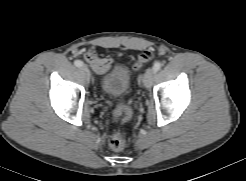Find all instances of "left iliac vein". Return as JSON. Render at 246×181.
Returning a JSON list of instances; mask_svg holds the SVG:
<instances>
[{
    "instance_id": "1",
    "label": "left iliac vein",
    "mask_w": 246,
    "mask_h": 181,
    "mask_svg": "<svg viewBox=\"0 0 246 181\" xmlns=\"http://www.w3.org/2000/svg\"><path fill=\"white\" fill-rule=\"evenodd\" d=\"M156 71L153 68H149L143 77V84L145 87L149 88L152 86Z\"/></svg>"
}]
</instances>
